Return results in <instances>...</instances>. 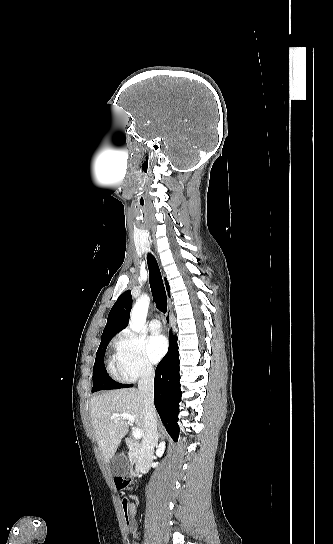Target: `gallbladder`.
<instances>
[{
    "mask_svg": "<svg viewBox=\"0 0 333 544\" xmlns=\"http://www.w3.org/2000/svg\"><path fill=\"white\" fill-rule=\"evenodd\" d=\"M113 476H124L129 470V461L124 453L116 455L109 463Z\"/></svg>",
    "mask_w": 333,
    "mask_h": 544,
    "instance_id": "obj_1",
    "label": "gallbladder"
}]
</instances>
